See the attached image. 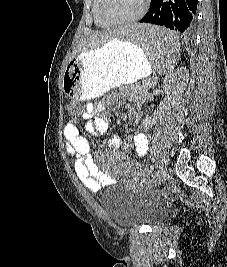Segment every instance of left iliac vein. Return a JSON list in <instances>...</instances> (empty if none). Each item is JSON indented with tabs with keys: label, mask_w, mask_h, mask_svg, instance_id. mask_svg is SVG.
Listing matches in <instances>:
<instances>
[{
	"label": "left iliac vein",
	"mask_w": 227,
	"mask_h": 267,
	"mask_svg": "<svg viewBox=\"0 0 227 267\" xmlns=\"http://www.w3.org/2000/svg\"><path fill=\"white\" fill-rule=\"evenodd\" d=\"M168 178V169L166 166L162 165L159 168L158 174H157V179L156 183L158 185L162 184L166 179Z\"/></svg>",
	"instance_id": "1"
}]
</instances>
